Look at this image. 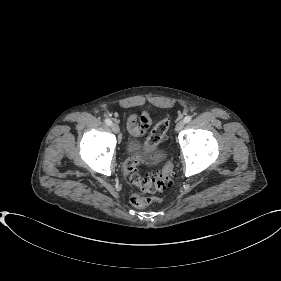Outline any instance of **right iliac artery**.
<instances>
[{
  "mask_svg": "<svg viewBox=\"0 0 281 281\" xmlns=\"http://www.w3.org/2000/svg\"><path fill=\"white\" fill-rule=\"evenodd\" d=\"M105 123H106L108 126H111L112 121H111L110 119H105Z\"/></svg>",
  "mask_w": 281,
  "mask_h": 281,
  "instance_id": "1",
  "label": "right iliac artery"
}]
</instances>
